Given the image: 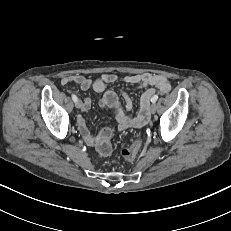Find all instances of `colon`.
<instances>
[{"label":"colon","instance_id":"1","mask_svg":"<svg viewBox=\"0 0 231 231\" xmlns=\"http://www.w3.org/2000/svg\"><path fill=\"white\" fill-rule=\"evenodd\" d=\"M140 146H141V141L136 140L131 146L124 148L121 151V155H122L123 159L126 162H130V161L134 160L135 157L137 156V153L140 149ZM111 149H112L111 130L106 128V129H103L100 133V141L97 145V151L101 155L106 156V155L110 154Z\"/></svg>","mask_w":231,"mask_h":231}]
</instances>
